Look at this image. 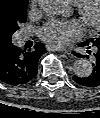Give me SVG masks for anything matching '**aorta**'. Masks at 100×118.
Masks as SVG:
<instances>
[{
	"instance_id": "1",
	"label": "aorta",
	"mask_w": 100,
	"mask_h": 118,
	"mask_svg": "<svg viewBox=\"0 0 100 118\" xmlns=\"http://www.w3.org/2000/svg\"><path fill=\"white\" fill-rule=\"evenodd\" d=\"M39 4L51 16L62 17L68 12L65 0H40ZM73 72L78 77H88L92 73V65L87 59L79 58L73 64Z\"/></svg>"
}]
</instances>
